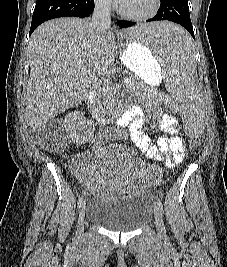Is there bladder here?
Returning <instances> with one entry per match:
<instances>
[{
  "label": "bladder",
  "mask_w": 227,
  "mask_h": 267,
  "mask_svg": "<svg viewBox=\"0 0 227 267\" xmlns=\"http://www.w3.org/2000/svg\"><path fill=\"white\" fill-rule=\"evenodd\" d=\"M153 213L147 193L116 200L92 198L86 211L89 222L115 232H131L147 222Z\"/></svg>",
  "instance_id": "31cf9c89"
}]
</instances>
